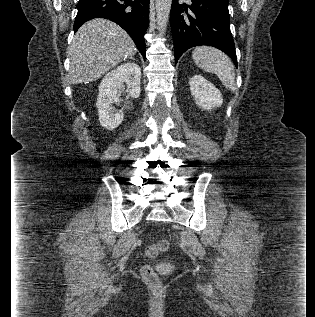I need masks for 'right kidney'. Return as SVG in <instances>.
Returning <instances> with one entry per match:
<instances>
[{
  "instance_id": "obj_1",
  "label": "right kidney",
  "mask_w": 315,
  "mask_h": 317,
  "mask_svg": "<svg viewBox=\"0 0 315 317\" xmlns=\"http://www.w3.org/2000/svg\"><path fill=\"white\" fill-rule=\"evenodd\" d=\"M141 69L135 63H124L107 73L99 86V94L96 102L99 122L107 130H114L123 121V111L114 112L113 104L122 101L118 95V89L127 84V92L132 98L140 95Z\"/></svg>"
}]
</instances>
